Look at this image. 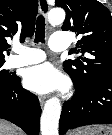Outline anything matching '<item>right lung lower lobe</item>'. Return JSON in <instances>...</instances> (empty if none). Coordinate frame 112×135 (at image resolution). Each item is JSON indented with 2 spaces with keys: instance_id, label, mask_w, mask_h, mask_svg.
Here are the masks:
<instances>
[{
  "instance_id": "1",
  "label": "right lung lower lobe",
  "mask_w": 112,
  "mask_h": 135,
  "mask_svg": "<svg viewBox=\"0 0 112 135\" xmlns=\"http://www.w3.org/2000/svg\"><path fill=\"white\" fill-rule=\"evenodd\" d=\"M40 115L38 98L22 88L18 76L0 89V118L16 124L28 135H38Z\"/></svg>"
}]
</instances>
